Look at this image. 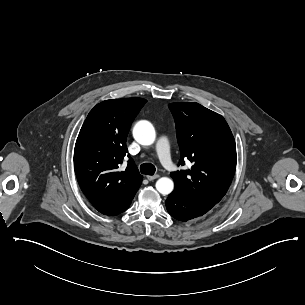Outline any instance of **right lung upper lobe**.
Returning <instances> with one entry per match:
<instances>
[{"label":"right lung upper lobe","instance_id":"cb5924a9","mask_svg":"<svg viewBox=\"0 0 305 305\" xmlns=\"http://www.w3.org/2000/svg\"><path fill=\"white\" fill-rule=\"evenodd\" d=\"M145 103L142 98L103 101L90 111L79 132L75 174L84 195L102 214L125 204L141 185L143 177L132 158L125 171L119 165L128 152L131 123Z\"/></svg>","mask_w":305,"mask_h":305}]
</instances>
